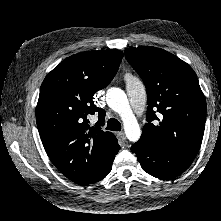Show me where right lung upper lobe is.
I'll return each instance as SVG.
<instances>
[{
    "label": "right lung upper lobe",
    "mask_w": 221,
    "mask_h": 221,
    "mask_svg": "<svg viewBox=\"0 0 221 221\" xmlns=\"http://www.w3.org/2000/svg\"><path fill=\"white\" fill-rule=\"evenodd\" d=\"M123 53L88 51L72 55L44 79L36 107L43 146L57 169L75 183L94 179L114 160L120 146L113 133L90 127L87 117L105 111L93 95L114 78Z\"/></svg>",
    "instance_id": "obj_1"
}]
</instances>
